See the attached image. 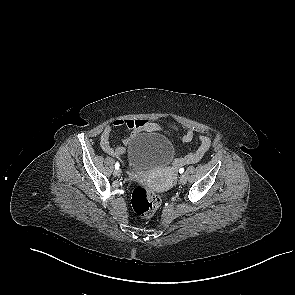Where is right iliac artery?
Masks as SVG:
<instances>
[{
	"label": "right iliac artery",
	"mask_w": 295,
	"mask_h": 295,
	"mask_svg": "<svg viewBox=\"0 0 295 295\" xmlns=\"http://www.w3.org/2000/svg\"><path fill=\"white\" fill-rule=\"evenodd\" d=\"M115 169H119V163L118 162H116V164H115Z\"/></svg>",
	"instance_id": "1"
}]
</instances>
